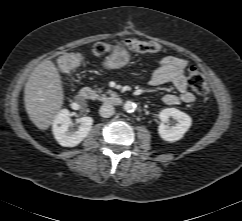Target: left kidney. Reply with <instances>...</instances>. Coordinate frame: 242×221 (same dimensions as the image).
<instances>
[{"instance_id":"1","label":"left kidney","mask_w":242,"mask_h":221,"mask_svg":"<svg viewBox=\"0 0 242 221\" xmlns=\"http://www.w3.org/2000/svg\"><path fill=\"white\" fill-rule=\"evenodd\" d=\"M161 124L158 127L160 137L167 142L180 140L192 124L191 117L176 108H166L159 113ZM169 118L177 121L175 126H169Z\"/></svg>"}]
</instances>
